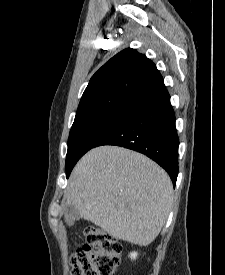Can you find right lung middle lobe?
<instances>
[{
	"label": "right lung middle lobe",
	"mask_w": 225,
	"mask_h": 275,
	"mask_svg": "<svg viewBox=\"0 0 225 275\" xmlns=\"http://www.w3.org/2000/svg\"><path fill=\"white\" fill-rule=\"evenodd\" d=\"M128 114L105 112L75 120L69 134L66 156V177L68 178L76 162Z\"/></svg>",
	"instance_id": "1"
}]
</instances>
